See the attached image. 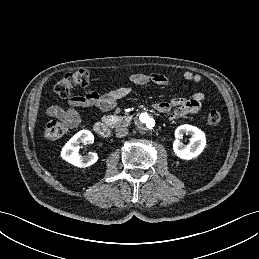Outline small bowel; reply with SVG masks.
Instances as JSON below:
<instances>
[{"label":"small bowel","instance_id":"obj_1","mask_svg":"<svg viewBox=\"0 0 259 259\" xmlns=\"http://www.w3.org/2000/svg\"><path fill=\"white\" fill-rule=\"evenodd\" d=\"M179 76L196 83L202 82V77L199 74L190 71L181 72ZM129 79L134 85L139 87H144L149 83L157 86H165L168 83V77L160 73L145 74L137 72L130 75ZM129 93L130 88L128 87H118L105 94H101L95 87H90L83 94L71 97L67 101L66 107L55 105L50 107L46 113L49 117H55L70 127H75L80 122L77 108L96 106L102 111H110ZM204 98L205 95L202 92H196L189 99L173 98L170 101H159L153 107L160 113L171 112L170 119L176 120L187 114L198 112Z\"/></svg>","mask_w":259,"mask_h":259}]
</instances>
